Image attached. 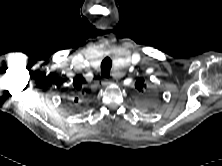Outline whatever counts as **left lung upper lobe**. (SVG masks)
I'll return each instance as SVG.
<instances>
[{"mask_svg": "<svg viewBox=\"0 0 222 166\" xmlns=\"http://www.w3.org/2000/svg\"><path fill=\"white\" fill-rule=\"evenodd\" d=\"M135 87L140 91L144 87V80L138 79L135 83Z\"/></svg>", "mask_w": 222, "mask_h": 166, "instance_id": "obj_1", "label": "left lung upper lobe"}]
</instances>
